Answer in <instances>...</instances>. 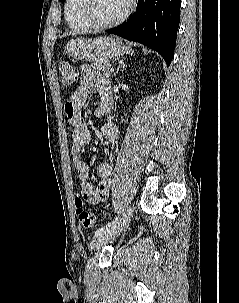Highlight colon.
Segmentation results:
<instances>
[{
	"mask_svg": "<svg viewBox=\"0 0 239 303\" xmlns=\"http://www.w3.org/2000/svg\"><path fill=\"white\" fill-rule=\"evenodd\" d=\"M59 72H60L61 82L65 86H71L78 79V72L76 68L68 62H63L60 64ZM74 203L76 208V215L78 217L80 224L84 228H96L97 226L96 217L92 213L84 209L83 200L81 196L77 195L75 197Z\"/></svg>",
	"mask_w": 239,
	"mask_h": 303,
	"instance_id": "5ec220e1",
	"label": "colon"
}]
</instances>
